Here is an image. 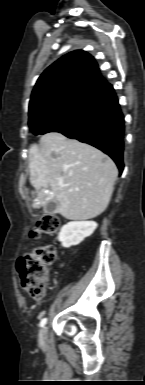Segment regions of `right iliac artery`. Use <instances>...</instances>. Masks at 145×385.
Here are the masks:
<instances>
[{
	"instance_id": "right-iliac-artery-1",
	"label": "right iliac artery",
	"mask_w": 145,
	"mask_h": 385,
	"mask_svg": "<svg viewBox=\"0 0 145 385\" xmlns=\"http://www.w3.org/2000/svg\"><path fill=\"white\" fill-rule=\"evenodd\" d=\"M47 323V318H43L40 322V326L43 327Z\"/></svg>"
}]
</instances>
